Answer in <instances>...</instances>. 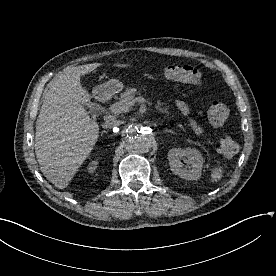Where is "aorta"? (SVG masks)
<instances>
[{
    "instance_id": "obj_1",
    "label": "aorta",
    "mask_w": 276,
    "mask_h": 276,
    "mask_svg": "<svg viewBox=\"0 0 276 276\" xmlns=\"http://www.w3.org/2000/svg\"><path fill=\"white\" fill-rule=\"evenodd\" d=\"M123 138L126 148L134 153L143 154L152 147L151 136L141 131L136 125L130 124L123 129Z\"/></svg>"
}]
</instances>
